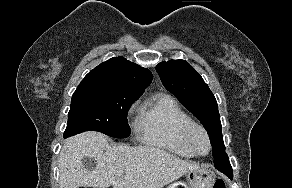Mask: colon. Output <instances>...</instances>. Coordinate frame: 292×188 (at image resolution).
I'll return each mask as SVG.
<instances>
[{
	"mask_svg": "<svg viewBox=\"0 0 292 188\" xmlns=\"http://www.w3.org/2000/svg\"><path fill=\"white\" fill-rule=\"evenodd\" d=\"M213 188H226V182L223 179H218L214 183Z\"/></svg>",
	"mask_w": 292,
	"mask_h": 188,
	"instance_id": "obj_1",
	"label": "colon"
}]
</instances>
